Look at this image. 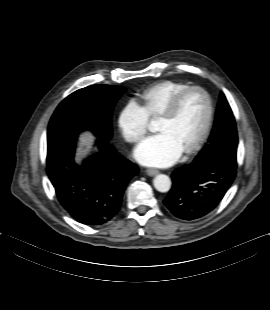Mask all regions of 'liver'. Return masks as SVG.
I'll use <instances>...</instances> for the list:
<instances>
[{
  "instance_id": "liver-1",
  "label": "liver",
  "mask_w": 270,
  "mask_h": 310,
  "mask_svg": "<svg viewBox=\"0 0 270 310\" xmlns=\"http://www.w3.org/2000/svg\"><path fill=\"white\" fill-rule=\"evenodd\" d=\"M79 140H80L79 143L80 146L77 150L78 160L89 152L95 140V137L91 133L85 132L79 136Z\"/></svg>"
}]
</instances>
